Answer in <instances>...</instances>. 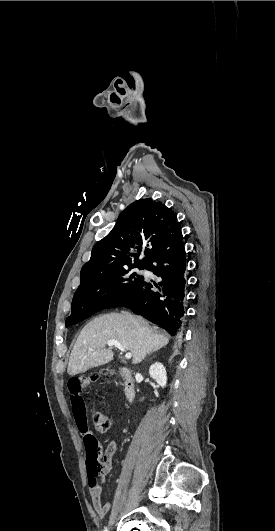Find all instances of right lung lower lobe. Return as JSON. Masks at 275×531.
Wrapping results in <instances>:
<instances>
[{
  "label": "right lung lower lobe",
  "instance_id": "obj_1",
  "mask_svg": "<svg viewBox=\"0 0 275 531\" xmlns=\"http://www.w3.org/2000/svg\"><path fill=\"white\" fill-rule=\"evenodd\" d=\"M180 226L162 243L147 266L161 278L158 283L142 280L121 307L131 309L175 335L182 328L185 289V249Z\"/></svg>",
  "mask_w": 275,
  "mask_h": 531
}]
</instances>
